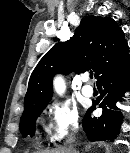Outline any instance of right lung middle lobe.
Here are the masks:
<instances>
[{"label":"right lung middle lobe","mask_w":130,"mask_h":153,"mask_svg":"<svg viewBox=\"0 0 130 153\" xmlns=\"http://www.w3.org/2000/svg\"><path fill=\"white\" fill-rule=\"evenodd\" d=\"M48 103L34 106L23 112L20 119V131L24 137L33 136L35 133V122Z\"/></svg>","instance_id":"right-lung-middle-lobe-1"}]
</instances>
